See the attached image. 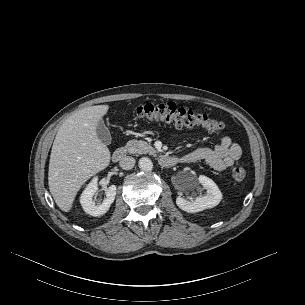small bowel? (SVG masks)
Segmentation results:
<instances>
[{
  "instance_id": "small-bowel-1",
  "label": "small bowel",
  "mask_w": 305,
  "mask_h": 305,
  "mask_svg": "<svg viewBox=\"0 0 305 305\" xmlns=\"http://www.w3.org/2000/svg\"><path fill=\"white\" fill-rule=\"evenodd\" d=\"M241 146L229 136H223L215 148H197L179 158L181 163L205 162L216 171H223L239 163Z\"/></svg>"
}]
</instances>
